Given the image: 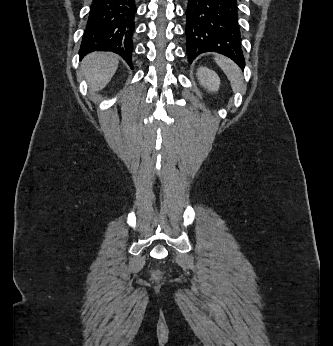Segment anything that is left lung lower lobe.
<instances>
[{
  "label": "left lung lower lobe",
  "instance_id": "obj_1",
  "mask_svg": "<svg viewBox=\"0 0 333 346\" xmlns=\"http://www.w3.org/2000/svg\"><path fill=\"white\" fill-rule=\"evenodd\" d=\"M185 33L189 62L217 52L245 66L236 0H188Z\"/></svg>",
  "mask_w": 333,
  "mask_h": 346
}]
</instances>
